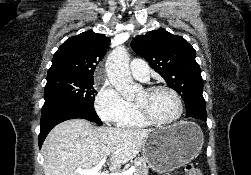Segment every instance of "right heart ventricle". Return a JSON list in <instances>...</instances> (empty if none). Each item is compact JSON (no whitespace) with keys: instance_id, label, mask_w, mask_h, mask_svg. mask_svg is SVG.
Listing matches in <instances>:
<instances>
[{"instance_id":"right-heart-ventricle-1","label":"right heart ventricle","mask_w":251,"mask_h":175,"mask_svg":"<svg viewBox=\"0 0 251 175\" xmlns=\"http://www.w3.org/2000/svg\"><path fill=\"white\" fill-rule=\"evenodd\" d=\"M148 125V122L143 119L137 111H133L132 114L125 119L123 122L119 124L120 127H126V128H131V127H140V126H146Z\"/></svg>"}]
</instances>
